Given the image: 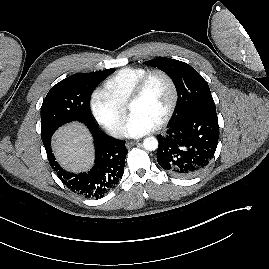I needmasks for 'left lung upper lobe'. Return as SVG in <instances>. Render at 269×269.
<instances>
[{"label":"left lung upper lobe","mask_w":269,"mask_h":269,"mask_svg":"<svg viewBox=\"0 0 269 269\" xmlns=\"http://www.w3.org/2000/svg\"><path fill=\"white\" fill-rule=\"evenodd\" d=\"M144 63L157 67L172 78L179 97L175 121L196 110H216L207 82L189 64L166 57H157Z\"/></svg>","instance_id":"5c2ea615"}]
</instances>
